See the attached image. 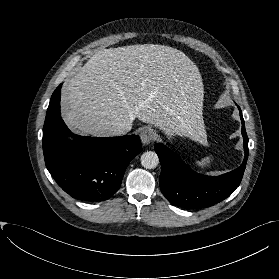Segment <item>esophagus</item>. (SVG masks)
<instances>
[{
	"mask_svg": "<svg viewBox=\"0 0 279 279\" xmlns=\"http://www.w3.org/2000/svg\"><path fill=\"white\" fill-rule=\"evenodd\" d=\"M156 137V134L154 130L151 127H144L141 134L140 138L143 144H149L151 143Z\"/></svg>",
	"mask_w": 279,
	"mask_h": 279,
	"instance_id": "esophagus-1",
	"label": "esophagus"
}]
</instances>
